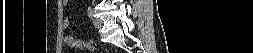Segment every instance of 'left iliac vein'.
I'll return each instance as SVG.
<instances>
[{
  "mask_svg": "<svg viewBox=\"0 0 253 53\" xmlns=\"http://www.w3.org/2000/svg\"><path fill=\"white\" fill-rule=\"evenodd\" d=\"M93 24H94V26H95L96 28H101V26H102V21H101L100 19H98V18H94V19H93Z\"/></svg>",
  "mask_w": 253,
  "mask_h": 53,
  "instance_id": "obj_1",
  "label": "left iliac vein"
}]
</instances>
